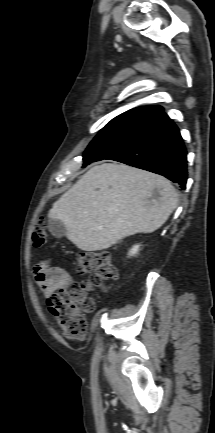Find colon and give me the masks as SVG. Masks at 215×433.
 I'll list each match as a JSON object with an SVG mask.
<instances>
[{
	"mask_svg": "<svg viewBox=\"0 0 215 433\" xmlns=\"http://www.w3.org/2000/svg\"><path fill=\"white\" fill-rule=\"evenodd\" d=\"M32 242L36 248L47 242L46 222L39 218L33 228ZM77 270L87 275L85 283H73L48 299V308L55 317L63 334L71 339L83 340L88 330L87 316L95 307L89 296L94 288H105L117 277V269L111 262L109 251H90L82 253L78 258Z\"/></svg>",
	"mask_w": 215,
	"mask_h": 433,
	"instance_id": "5ec220e1",
	"label": "colon"
}]
</instances>
